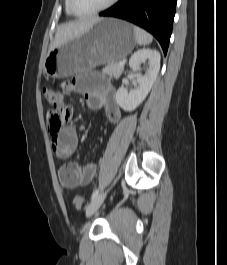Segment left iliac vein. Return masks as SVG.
I'll use <instances>...</instances> for the list:
<instances>
[{"mask_svg":"<svg viewBox=\"0 0 227 265\" xmlns=\"http://www.w3.org/2000/svg\"><path fill=\"white\" fill-rule=\"evenodd\" d=\"M107 192H102L101 194H99L86 208V216L90 217L92 216L97 210L98 208L101 206V204L103 203L105 197H106Z\"/></svg>","mask_w":227,"mask_h":265,"instance_id":"obj_1","label":"left iliac vein"}]
</instances>
